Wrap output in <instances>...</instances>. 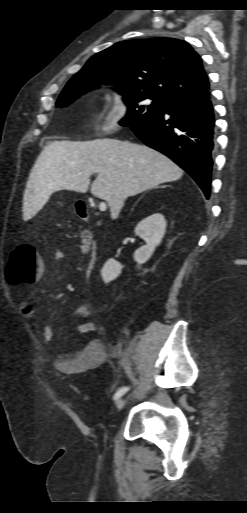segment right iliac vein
Here are the masks:
<instances>
[{"instance_id":"63e3f726","label":"right iliac vein","mask_w":247,"mask_h":513,"mask_svg":"<svg viewBox=\"0 0 247 513\" xmlns=\"http://www.w3.org/2000/svg\"><path fill=\"white\" fill-rule=\"evenodd\" d=\"M125 403H126V399L125 398H120L116 401V408L118 411H120L124 406H125Z\"/></svg>"}]
</instances>
